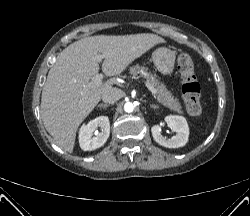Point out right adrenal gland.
Wrapping results in <instances>:
<instances>
[{"mask_svg":"<svg viewBox=\"0 0 250 216\" xmlns=\"http://www.w3.org/2000/svg\"><path fill=\"white\" fill-rule=\"evenodd\" d=\"M98 107H101V108H107V107H108V105H106V104H99V105H98Z\"/></svg>","mask_w":250,"mask_h":216,"instance_id":"1","label":"right adrenal gland"}]
</instances>
